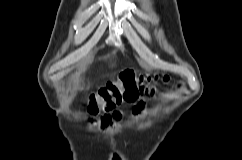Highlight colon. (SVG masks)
<instances>
[{"label":"colon","mask_w":242,"mask_h":160,"mask_svg":"<svg viewBox=\"0 0 242 160\" xmlns=\"http://www.w3.org/2000/svg\"><path fill=\"white\" fill-rule=\"evenodd\" d=\"M168 76L148 72L135 74L131 71L123 72L115 81L108 82L98 90L92 92L88 100V111L92 114L107 113L108 118H115L118 113L115 108L124 102H134L140 95L153 93V83L168 81ZM103 119V120H104Z\"/></svg>","instance_id":"1"}]
</instances>
